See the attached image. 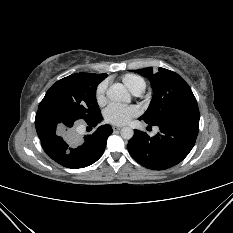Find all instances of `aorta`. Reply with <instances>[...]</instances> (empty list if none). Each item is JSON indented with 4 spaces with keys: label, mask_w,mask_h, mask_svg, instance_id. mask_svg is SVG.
Masks as SVG:
<instances>
[{
    "label": "aorta",
    "mask_w": 233,
    "mask_h": 233,
    "mask_svg": "<svg viewBox=\"0 0 233 233\" xmlns=\"http://www.w3.org/2000/svg\"><path fill=\"white\" fill-rule=\"evenodd\" d=\"M107 97L111 101L114 102H127L129 103L131 100V96L128 93L127 89L124 87V85L120 83H115L111 85L107 92ZM134 131L130 127H123L121 129V137L123 139L129 140L133 137Z\"/></svg>",
    "instance_id": "aorta-1"
}]
</instances>
